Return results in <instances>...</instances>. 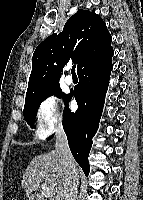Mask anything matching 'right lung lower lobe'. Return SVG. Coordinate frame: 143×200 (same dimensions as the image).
Segmentation results:
<instances>
[{"mask_svg":"<svg viewBox=\"0 0 143 200\" xmlns=\"http://www.w3.org/2000/svg\"><path fill=\"white\" fill-rule=\"evenodd\" d=\"M113 48L87 62L78 72L79 83L74 93L67 95L63 112V125L73 157L86 176L90 166L88 155L102 114L110 73L113 68ZM74 95L78 104L76 112L68 103Z\"/></svg>","mask_w":143,"mask_h":200,"instance_id":"1","label":"right lung lower lobe"}]
</instances>
